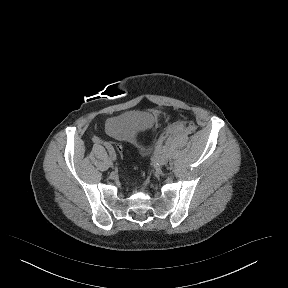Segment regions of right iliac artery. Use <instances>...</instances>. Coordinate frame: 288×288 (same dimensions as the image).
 Listing matches in <instances>:
<instances>
[{
	"label": "right iliac artery",
	"mask_w": 288,
	"mask_h": 288,
	"mask_svg": "<svg viewBox=\"0 0 288 288\" xmlns=\"http://www.w3.org/2000/svg\"><path fill=\"white\" fill-rule=\"evenodd\" d=\"M92 141L95 142V143H101V144H103V145L107 148V150H108V152H109V155H110V158H111L112 160H115V159H116L115 150H114L113 146H112L109 142H105V141L101 140L100 138H98V137H96V136H94V137L92 138Z\"/></svg>",
	"instance_id": "82829eb1"
}]
</instances>
